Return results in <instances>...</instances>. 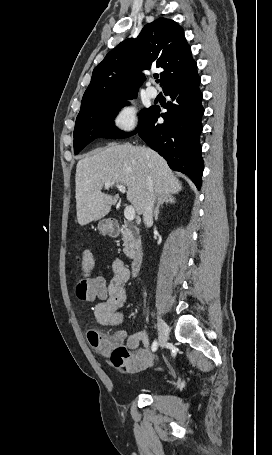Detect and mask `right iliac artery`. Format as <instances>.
<instances>
[{
	"label": "right iliac artery",
	"mask_w": 272,
	"mask_h": 455,
	"mask_svg": "<svg viewBox=\"0 0 272 455\" xmlns=\"http://www.w3.org/2000/svg\"><path fill=\"white\" fill-rule=\"evenodd\" d=\"M157 348H158V343L156 340H154V342L152 343V346H151V350L153 352H155L157 350Z\"/></svg>",
	"instance_id": "obj_1"
}]
</instances>
